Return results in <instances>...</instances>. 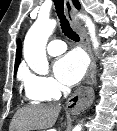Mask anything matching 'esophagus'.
<instances>
[{
	"label": "esophagus",
	"instance_id": "1",
	"mask_svg": "<svg viewBox=\"0 0 117 131\" xmlns=\"http://www.w3.org/2000/svg\"><path fill=\"white\" fill-rule=\"evenodd\" d=\"M65 1V10L69 21L74 29L78 30L84 49L87 51L90 57V66L85 77V86L79 87L73 95L68 99L66 108L72 114H78L83 111L85 108L91 105L94 100V91L91 86V83L95 79V60L91 51L88 37L86 33L82 30L78 20L76 19L74 12L75 8L72 3V0Z\"/></svg>",
	"mask_w": 117,
	"mask_h": 131
}]
</instances>
